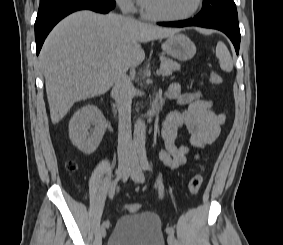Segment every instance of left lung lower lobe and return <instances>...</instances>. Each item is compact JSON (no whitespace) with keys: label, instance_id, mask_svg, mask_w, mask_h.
<instances>
[{"label":"left lung lower lobe","instance_id":"0a47b994","mask_svg":"<svg viewBox=\"0 0 283 245\" xmlns=\"http://www.w3.org/2000/svg\"><path fill=\"white\" fill-rule=\"evenodd\" d=\"M161 26H169V27H185V26H199L204 28H213L224 32L232 41L236 53L239 52L240 46V30L238 28H233L228 25L217 23V22H207L197 20L195 17L193 19L177 21V22H162L158 23Z\"/></svg>","mask_w":283,"mask_h":245}]
</instances>
